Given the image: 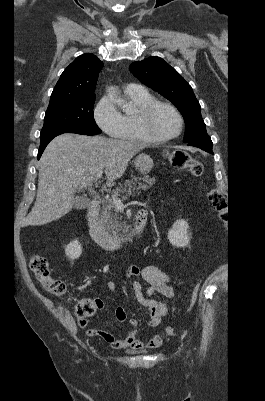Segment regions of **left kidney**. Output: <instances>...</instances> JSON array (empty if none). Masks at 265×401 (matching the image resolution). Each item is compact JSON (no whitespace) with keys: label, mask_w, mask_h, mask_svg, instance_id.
Listing matches in <instances>:
<instances>
[{"label":"left kidney","mask_w":265,"mask_h":401,"mask_svg":"<svg viewBox=\"0 0 265 401\" xmlns=\"http://www.w3.org/2000/svg\"><path fill=\"white\" fill-rule=\"evenodd\" d=\"M187 229H189L188 223L184 219H179L172 225V229L168 231V239L173 247H179V249L187 247L190 241Z\"/></svg>","instance_id":"obj_1"}]
</instances>
